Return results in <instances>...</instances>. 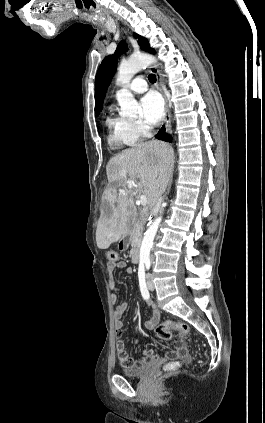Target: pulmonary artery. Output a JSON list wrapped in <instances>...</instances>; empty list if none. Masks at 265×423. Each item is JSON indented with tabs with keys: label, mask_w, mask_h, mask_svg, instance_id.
I'll list each match as a JSON object with an SVG mask.
<instances>
[{
	"label": "pulmonary artery",
	"mask_w": 265,
	"mask_h": 423,
	"mask_svg": "<svg viewBox=\"0 0 265 423\" xmlns=\"http://www.w3.org/2000/svg\"><path fill=\"white\" fill-rule=\"evenodd\" d=\"M128 88L133 93L140 94L147 90V83L142 77H137L130 83Z\"/></svg>",
	"instance_id": "1"
}]
</instances>
